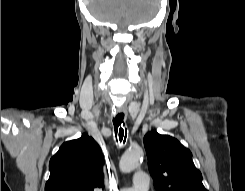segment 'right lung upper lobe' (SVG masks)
<instances>
[{
  "instance_id": "1",
  "label": "right lung upper lobe",
  "mask_w": 245,
  "mask_h": 191,
  "mask_svg": "<svg viewBox=\"0 0 245 191\" xmlns=\"http://www.w3.org/2000/svg\"><path fill=\"white\" fill-rule=\"evenodd\" d=\"M45 191H93L103 188V155L96 141L84 134L65 142L49 163Z\"/></svg>"
}]
</instances>
